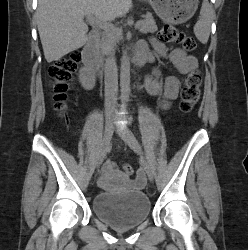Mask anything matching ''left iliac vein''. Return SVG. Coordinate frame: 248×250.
<instances>
[{
	"label": "left iliac vein",
	"instance_id": "left-iliac-vein-1",
	"mask_svg": "<svg viewBox=\"0 0 248 250\" xmlns=\"http://www.w3.org/2000/svg\"><path fill=\"white\" fill-rule=\"evenodd\" d=\"M117 132L134 152L142 155V148L139 142L137 141L134 134L127 126H123L122 128H117ZM144 168L148 176V179L150 181H153L154 172L151 165L147 161H144Z\"/></svg>",
	"mask_w": 248,
	"mask_h": 250
}]
</instances>
